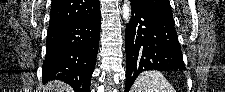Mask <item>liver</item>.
<instances>
[{
  "label": "liver",
  "mask_w": 225,
  "mask_h": 92,
  "mask_svg": "<svg viewBox=\"0 0 225 92\" xmlns=\"http://www.w3.org/2000/svg\"><path fill=\"white\" fill-rule=\"evenodd\" d=\"M45 92H70L71 88L60 81H51L43 89Z\"/></svg>",
  "instance_id": "obj_1"
}]
</instances>
